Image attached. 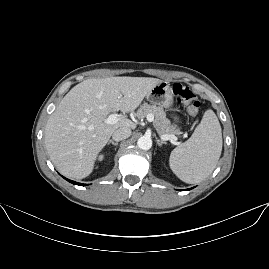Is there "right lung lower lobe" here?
<instances>
[{
  "label": "right lung lower lobe",
  "mask_w": 269,
  "mask_h": 269,
  "mask_svg": "<svg viewBox=\"0 0 269 269\" xmlns=\"http://www.w3.org/2000/svg\"><path fill=\"white\" fill-rule=\"evenodd\" d=\"M63 178H65V177H63ZM65 179H66L67 181H69V182L75 184V185H80V186H84V185H86V184L78 183V182H75V181H71V180H69V179H67V178H65Z\"/></svg>",
  "instance_id": "obj_1"
}]
</instances>
